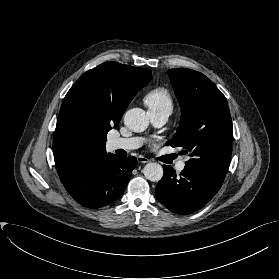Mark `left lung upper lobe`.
I'll return each mask as SVG.
<instances>
[{
    "instance_id": "1",
    "label": "left lung upper lobe",
    "mask_w": 279,
    "mask_h": 279,
    "mask_svg": "<svg viewBox=\"0 0 279 279\" xmlns=\"http://www.w3.org/2000/svg\"><path fill=\"white\" fill-rule=\"evenodd\" d=\"M181 106V120L170 144L190 159L185 170L222 185L231 158L233 126L227 100L200 72L177 68L166 72Z\"/></svg>"
}]
</instances>
